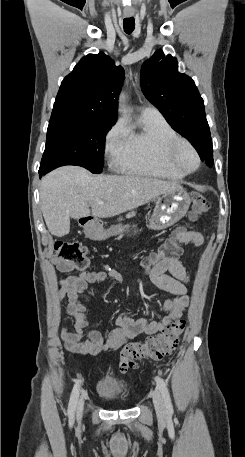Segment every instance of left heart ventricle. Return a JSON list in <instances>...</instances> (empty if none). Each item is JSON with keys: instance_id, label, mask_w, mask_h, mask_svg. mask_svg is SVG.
<instances>
[{"instance_id": "1", "label": "left heart ventricle", "mask_w": 245, "mask_h": 457, "mask_svg": "<svg viewBox=\"0 0 245 457\" xmlns=\"http://www.w3.org/2000/svg\"><path fill=\"white\" fill-rule=\"evenodd\" d=\"M174 160L177 164L181 165L186 169H191L194 167V159L192 155L185 149H178L174 154Z\"/></svg>"}]
</instances>
